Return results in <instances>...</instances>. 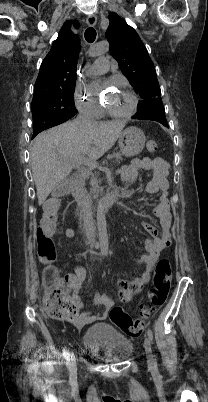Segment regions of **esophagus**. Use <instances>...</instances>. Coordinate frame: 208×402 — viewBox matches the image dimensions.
I'll list each match as a JSON object with an SVG mask.
<instances>
[{"label": "esophagus", "mask_w": 208, "mask_h": 402, "mask_svg": "<svg viewBox=\"0 0 208 402\" xmlns=\"http://www.w3.org/2000/svg\"><path fill=\"white\" fill-rule=\"evenodd\" d=\"M86 23L89 27H93L97 23V18L95 15H88L86 18Z\"/></svg>", "instance_id": "esophagus-1"}]
</instances>
